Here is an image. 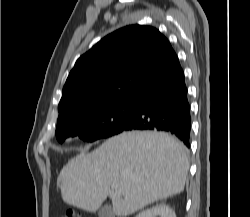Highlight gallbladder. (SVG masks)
Listing matches in <instances>:
<instances>
[{
    "label": "gallbladder",
    "instance_id": "obj_1",
    "mask_svg": "<svg viewBox=\"0 0 250 217\" xmlns=\"http://www.w3.org/2000/svg\"><path fill=\"white\" fill-rule=\"evenodd\" d=\"M99 217H115L114 212L110 205L101 207L98 211Z\"/></svg>",
    "mask_w": 250,
    "mask_h": 217
}]
</instances>
